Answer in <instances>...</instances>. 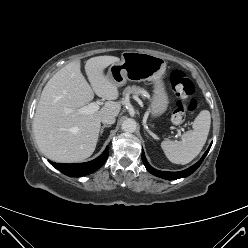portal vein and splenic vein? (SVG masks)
<instances>
[{
  "mask_svg": "<svg viewBox=\"0 0 248 248\" xmlns=\"http://www.w3.org/2000/svg\"><path fill=\"white\" fill-rule=\"evenodd\" d=\"M133 98L137 101L140 102V99L136 96H133ZM100 109V102H92L90 104H88L87 106H84L82 108L79 109V113L81 114H91L94 113L96 111H98ZM179 134H180V130H178Z\"/></svg>",
  "mask_w": 248,
  "mask_h": 248,
  "instance_id": "portal-vein-and-splenic-vein-1",
  "label": "portal vein and splenic vein"
}]
</instances>
